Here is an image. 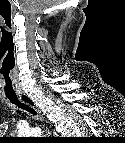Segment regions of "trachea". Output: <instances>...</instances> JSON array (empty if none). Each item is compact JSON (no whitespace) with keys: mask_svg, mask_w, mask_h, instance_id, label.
<instances>
[{"mask_svg":"<svg viewBox=\"0 0 125 143\" xmlns=\"http://www.w3.org/2000/svg\"><path fill=\"white\" fill-rule=\"evenodd\" d=\"M7 98L10 100V102H12L13 104H15L16 106H18L19 108L21 109H24L26 111H28L29 113L35 115L36 114V111L30 107L29 105L27 104H24L22 103L18 97L16 95H6Z\"/></svg>","mask_w":125,"mask_h":143,"instance_id":"obj_1","label":"trachea"}]
</instances>
